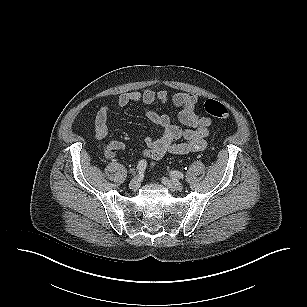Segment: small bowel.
<instances>
[{
  "label": "small bowel",
  "mask_w": 307,
  "mask_h": 307,
  "mask_svg": "<svg viewBox=\"0 0 307 307\" xmlns=\"http://www.w3.org/2000/svg\"><path fill=\"white\" fill-rule=\"evenodd\" d=\"M158 101L162 104H173L179 109V120L187 126V129H181L172 123L170 117L159 113L152 108L145 110L149 120L159 127L162 131L159 137H146L144 156L152 162L162 159L167 154H189L202 151L206 146V137L209 134L212 125V119L207 116H199L196 113L198 100L197 97L178 92L170 96L165 90L146 89L142 92L131 91L122 93L119 96L118 104L121 107L131 103H143L150 105ZM109 109L107 106L101 107L95 116V136L98 140H103L108 135ZM124 143L120 140H111L103 143V152L105 157L111 158L117 152L123 150Z\"/></svg>",
  "instance_id": "obj_1"
}]
</instances>
